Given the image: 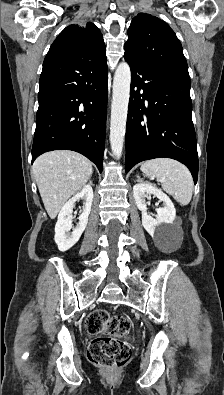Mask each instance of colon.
I'll return each mask as SVG.
<instances>
[{"label":"colon","instance_id":"1","mask_svg":"<svg viewBox=\"0 0 224 395\" xmlns=\"http://www.w3.org/2000/svg\"><path fill=\"white\" fill-rule=\"evenodd\" d=\"M130 327V320L124 316H110L103 309L93 310L85 320L87 332L97 335L89 347L90 361L109 369L125 366L131 358V345L122 336Z\"/></svg>","mask_w":224,"mask_h":395}]
</instances>
